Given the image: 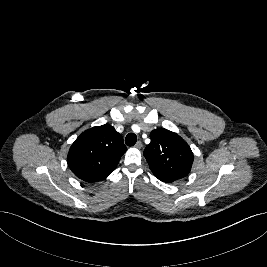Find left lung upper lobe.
I'll use <instances>...</instances> for the list:
<instances>
[{"instance_id":"left-lung-upper-lobe-1","label":"left lung upper lobe","mask_w":267,"mask_h":267,"mask_svg":"<svg viewBox=\"0 0 267 267\" xmlns=\"http://www.w3.org/2000/svg\"><path fill=\"white\" fill-rule=\"evenodd\" d=\"M150 138L144 156L153 174L165 182L186 177L194 159L189 145L178 134L164 128L153 130Z\"/></svg>"}]
</instances>
